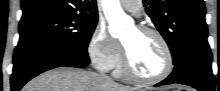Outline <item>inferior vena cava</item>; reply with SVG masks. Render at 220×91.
Segmentation results:
<instances>
[{
  "mask_svg": "<svg viewBox=\"0 0 220 91\" xmlns=\"http://www.w3.org/2000/svg\"><path fill=\"white\" fill-rule=\"evenodd\" d=\"M98 75H99L101 78H103L104 80L111 81V78L108 77L104 72H100Z\"/></svg>",
  "mask_w": 220,
  "mask_h": 91,
  "instance_id": "602c4592",
  "label": "inferior vena cava"
}]
</instances>
